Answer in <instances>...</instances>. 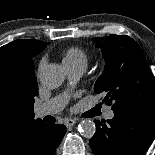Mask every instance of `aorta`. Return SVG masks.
<instances>
[{"mask_svg": "<svg viewBox=\"0 0 155 155\" xmlns=\"http://www.w3.org/2000/svg\"><path fill=\"white\" fill-rule=\"evenodd\" d=\"M40 82L48 89H55L62 85L65 79V70L58 64H48L40 71ZM78 131L85 138H92L96 132L94 121L90 119L83 120L78 125Z\"/></svg>", "mask_w": 155, "mask_h": 155, "instance_id": "obj_1", "label": "aorta"}]
</instances>
